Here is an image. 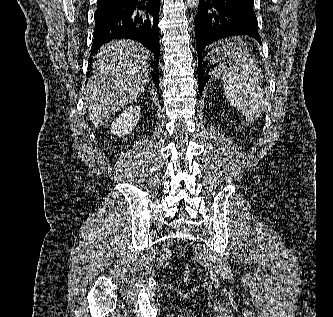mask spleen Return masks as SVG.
<instances>
[{
  "label": "spleen",
  "mask_w": 333,
  "mask_h": 317,
  "mask_svg": "<svg viewBox=\"0 0 333 317\" xmlns=\"http://www.w3.org/2000/svg\"><path fill=\"white\" fill-rule=\"evenodd\" d=\"M244 46L240 38L222 42L221 48L228 61L222 69L223 87L229 102L245 116L248 123H253L260 115L264 91L258 66L245 52Z\"/></svg>",
  "instance_id": "1"
}]
</instances>
